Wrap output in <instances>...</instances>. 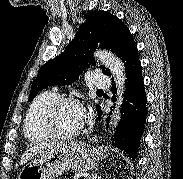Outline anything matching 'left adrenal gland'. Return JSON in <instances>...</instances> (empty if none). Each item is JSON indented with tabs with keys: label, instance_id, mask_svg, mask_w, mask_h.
<instances>
[{
	"label": "left adrenal gland",
	"instance_id": "obj_1",
	"mask_svg": "<svg viewBox=\"0 0 183 179\" xmlns=\"http://www.w3.org/2000/svg\"><path fill=\"white\" fill-rule=\"evenodd\" d=\"M87 179H101V177L96 173V174H91Z\"/></svg>",
	"mask_w": 183,
	"mask_h": 179
}]
</instances>
